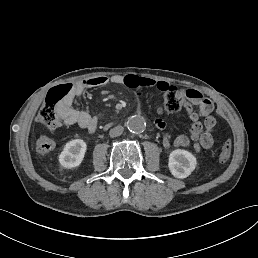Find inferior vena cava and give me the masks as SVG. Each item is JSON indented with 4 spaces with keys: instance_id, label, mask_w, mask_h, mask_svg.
<instances>
[{
    "instance_id": "1",
    "label": "inferior vena cava",
    "mask_w": 258,
    "mask_h": 258,
    "mask_svg": "<svg viewBox=\"0 0 258 258\" xmlns=\"http://www.w3.org/2000/svg\"><path fill=\"white\" fill-rule=\"evenodd\" d=\"M124 131V128L122 126H116L110 130V137L114 138L119 135H121Z\"/></svg>"
}]
</instances>
